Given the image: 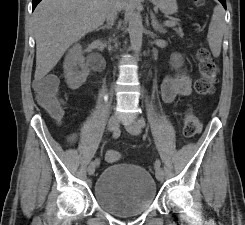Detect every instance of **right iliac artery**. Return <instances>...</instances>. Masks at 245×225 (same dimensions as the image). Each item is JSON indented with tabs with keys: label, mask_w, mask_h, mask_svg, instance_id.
<instances>
[{
	"label": "right iliac artery",
	"mask_w": 245,
	"mask_h": 225,
	"mask_svg": "<svg viewBox=\"0 0 245 225\" xmlns=\"http://www.w3.org/2000/svg\"><path fill=\"white\" fill-rule=\"evenodd\" d=\"M120 136V130L119 129H116L112 135V138L116 139ZM94 164L95 166H99L100 165V158H96L94 160Z\"/></svg>",
	"instance_id": "right-iliac-artery-1"
}]
</instances>
